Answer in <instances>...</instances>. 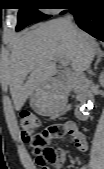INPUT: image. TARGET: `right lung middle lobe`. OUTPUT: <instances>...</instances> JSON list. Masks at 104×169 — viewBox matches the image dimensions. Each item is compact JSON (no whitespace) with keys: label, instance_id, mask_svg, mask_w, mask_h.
<instances>
[{"label":"right lung middle lobe","instance_id":"dd1d6c3e","mask_svg":"<svg viewBox=\"0 0 104 169\" xmlns=\"http://www.w3.org/2000/svg\"><path fill=\"white\" fill-rule=\"evenodd\" d=\"M19 4L18 13V23L16 30L19 31L26 27L27 25L38 22L50 17V15H45L38 10L39 2L38 0H16ZM67 4L76 2L77 0H65Z\"/></svg>","mask_w":104,"mask_h":169}]
</instances>
